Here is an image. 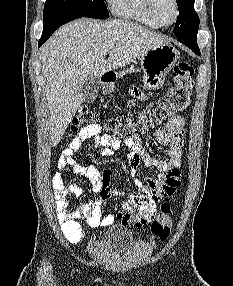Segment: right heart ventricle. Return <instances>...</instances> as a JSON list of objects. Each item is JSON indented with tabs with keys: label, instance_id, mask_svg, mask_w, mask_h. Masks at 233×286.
<instances>
[{
	"label": "right heart ventricle",
	"instance_id": "right-heart-ventricle-1",
	"mask_svg": "<svg viewBox=\"0 0 233 286\" xmlns=\"http://www.w3.org/2000/svg\"><path fill=\"white\" fill-rule=\"evenodd\" d=\"M110 9L118 17L133 20L151 28L159 26L147 11L145 0H108Z\"/></svg>",
	"mask_w": 233,
	"mask_h": 286
}]
</instances>
